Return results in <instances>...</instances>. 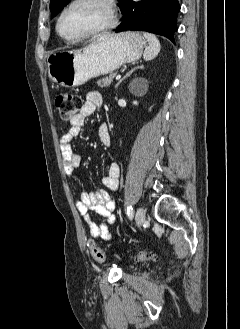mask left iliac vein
Returning a JSON list of instances; mask_svg holds the SVG:
<instances>
[{
    "mask_svg": "<svg viewBox=\"0 0 240 329\" xmlns=\"http://www.w3.org/2000/svg\"><path fill=\"white\" fill-rule=\"evenodd\" d=\"M136 225L141 227L145 222V210L143 208H138L135 216Z\"/></svg>",
    "mask_w": 240,
    "mask_h": 329,
    "instance_id": "obj_1",
    "label": "left iliac vein"
}]
</instances>
